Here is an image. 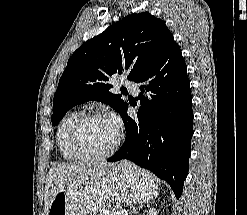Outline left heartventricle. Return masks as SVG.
I'll return each mask as SVG.
<instances>
[{
  "label": "left heart ventricle",
  "instance_id": "b2bd125f",
  "mask_svg": "<svg viewBox=\"0 0 247 215\" xmlns=\"http://www.w3.org/2000/svg\"><path fill=\"white\" fill-rule=\"evenodd\" d=\"M117 132L107 119L86 122L81 130L83 147L91 153H102L114 143Z\"/></svg>",
  "mask_w": 247,
  "mask_h": 215
}]
</instances>
